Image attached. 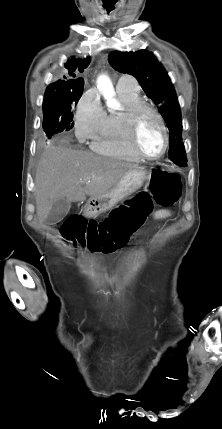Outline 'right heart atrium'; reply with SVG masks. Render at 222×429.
<instances>
[{"mask_svg":"<svg viewBox=\"0 0 222 429\" xmlns=\"http://www.w3.org/2000/svg\"><path fill=\"white\" fill-rule=\"evenodd\" d=\"M106 113L97 95L85 92L79 99L74 113L75 133L79 141L93 139L101 130Z\"/></svg>","mask_w":222,"mask_h":429,"instance_id":"d8ad5b80","label":"right heart atrium"}]
</instances>
